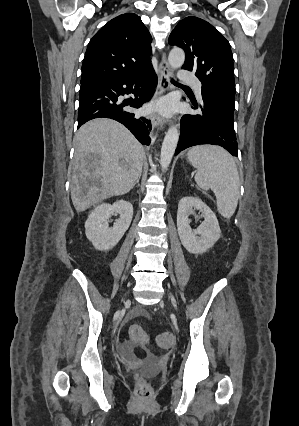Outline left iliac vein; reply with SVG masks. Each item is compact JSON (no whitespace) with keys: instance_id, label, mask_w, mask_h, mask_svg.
Wrapping results in <instances>:
<instances>
[{"instance_id":"left-iliac-vein-1","label":"left iliac vein","mask_w":299,"mask_h":426,"mask_svg":"<svg viewBox=\"0 0 299 426\" xmlns=\"http://www.w3.org/2000/svg\"><path fill=\"white\" fill-rule=\"evenodd\" d=\"M170 298H171V302H172L173 306H174L175 308H177V303H176V300H175V298L173 297V295H171V294H170Z\"/></svg>"}]
</instances>
